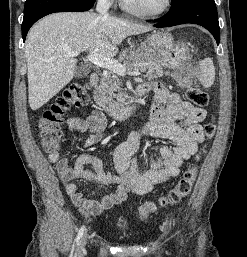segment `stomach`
Listing matches in <instances>:
<instances>
[{
	"label": "stomach",
	"mask_w": 247,
	"mask_h": 257,
	"mask_svg": "<svg viewBox=\"0 0 247 257\" xmlns=\"http://www.w3.org/2000/svg\"><path fill=\"white\" fill-rule=\"evenodd\" d=\"M135 54L142 61H155L176 69L188 59L189 49L179 41H175L168 32H153L138 46Z\"/></svg>",
	"instance_id": "stomach-1"
}]
</instances>
